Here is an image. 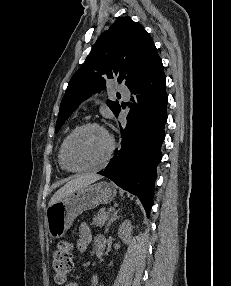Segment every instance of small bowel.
<instances>
[{"instance_id":"1","label":"small bowel","mask_w":231,"mask_h":286,"mask_svg":"<svg viewBox=\"0 0 231 286\" xmlns=\"http://www.w3.org/2000/svg\"><path fill=\"white\" fill-rule=\"evenodd\" d=\"M103 237L97 236L93 237L91 229L87 223H82L79 227V238L77 240V250L80 253H84L89 246L94 243L97 247V242ZM98 284V276L94 274L91 278V286H96ZM65 286H78L75 282H69Z\"/></svg>"}]
</instances>
